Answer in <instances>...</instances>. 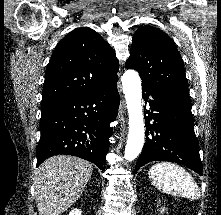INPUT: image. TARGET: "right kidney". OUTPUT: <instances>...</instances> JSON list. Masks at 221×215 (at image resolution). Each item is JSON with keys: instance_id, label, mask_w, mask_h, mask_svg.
Returning <instances> with one entry per match:
<instances>
[{"instance_id": "ca27d5eb", "label": "right kidney", "mask_w": 221, "mask_h": 215, "mask_svg": "<svg viewBox=\"0 0 221 215\" xmlns=\"http://www.w3.org/2000/svg\"><path fill=\"white\" fill-rule=\"evenodd\" d=\"M68 215H82V214L79 209L75 208Z\"/></svg>"}]
</instances>
